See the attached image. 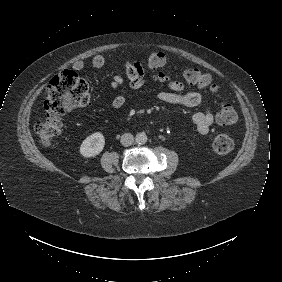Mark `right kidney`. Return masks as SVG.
Here are the masks:
<instances>
[{
  "label": "right kidney",
  "instance_id": "obj_1",
  "mask_svg": "<svg viewBox=\"0 0 282 282\" xmlns=\"http://www.w3.org/2000/svg\"><path fill=\"white\" fill-rule=\"evenodd\" d=\"M105 138L102 133L96 132L88 136L80 146V154L86 158L98 155L104 148Z\"/></svg>",
  "mask_w": 282,
  "mask_h": 282
}]
</instances>
